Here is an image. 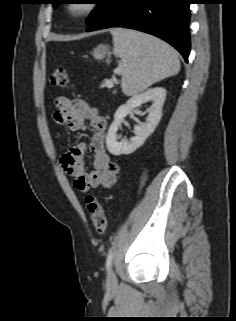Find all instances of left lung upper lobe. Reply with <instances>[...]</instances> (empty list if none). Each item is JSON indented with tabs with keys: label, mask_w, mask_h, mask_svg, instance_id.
Instances as JSON below:
<instances>
[{
	"label": "left lung upper lobe",
	"mask_w": 236,
	"mask_h": 321,
	"mask_svg": "<svg viewBox=\"0 0 236 321\" xmlns=\"http://www.w3.org/2000/svg\"><path fill=\"white\" fill-rule=\"evenodd\" d=\"M60 0H51L53 7L56 8L60 2ZM97 7L92 11L90 17L87 20V24L89 25L95 18H97L111 3L112 0H93Z\"/></svg>",
	"instance_id": "1"
}]
</instances>
